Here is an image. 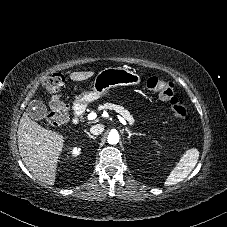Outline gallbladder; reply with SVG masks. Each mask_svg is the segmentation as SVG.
I'll list each match as a JSON object with an SVG mask.
<instances>
[{
  "label": "gallbladder",
  "instance_id": "obj_1",
  "mask_svg": "<svg viewBox=\"0 0 227 227\" xmlns=\"http://www.w3.org/2000/svg\"><path fill=\"white\" fill-rule=\"evenodd\" d=\"M27 113L32 119L41 120L46 117L47 108L42 101L32 100L28 105Z\"/></svg>",
  "mask_w": 227,
  "mask_h": 227
}]
</instances>
